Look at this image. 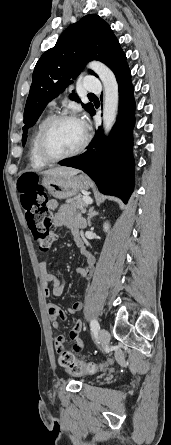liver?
I'll list each match as a JSON object with an SVG mask.
<instances>
[{
  "mask_svg": "<svg viewBox=\"0 0 171 445\" xmlns=\"http://www.w3.org/2000/svg\"><path fill=\"white\" fill-rule=\"evenodd\" d=\"M78 170L68 167H57L42 172L43 175H55V176H74L78 174Z\"/></svg>",
  "mask_w": 171,
  "mask_h": 445,
  "instance_id": "liver-1",
  "label": "liver"
}]
</instances>
